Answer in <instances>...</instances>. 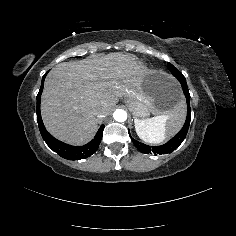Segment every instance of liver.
Segmentation results:
<instances>
[{"label": "liver", "mask_w": 236, "mask_h": 236, "mask_svg": "<svg viewBox=\"0 0 236 236\" xmlns=\"http://www.w3.org/2000/svg\"><path fill=\"white\" fill-rule=\"evenodd\" d=\"M145 75L134 55L120 52L57 64L48 73L41 96L47 130L72 145L88 143L98 129L95 109L100 110V117H106L119 97L139 96ZM182 107L180 103L178 111Z\"/></svg>", "instance_id": "1"}]
</instances>
